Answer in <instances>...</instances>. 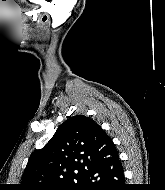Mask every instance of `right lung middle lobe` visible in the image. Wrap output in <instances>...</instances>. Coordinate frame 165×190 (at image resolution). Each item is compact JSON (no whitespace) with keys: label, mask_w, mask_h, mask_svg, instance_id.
<instances>
[{"label":"right lung middle lobe","mask_w":165,"mask_h":190,"mask_svg":"<svg viewBox=\"0 0 165 190\" xmlns=\"http://www.w3.org/2000/svg\"><path fill=\"white\" fill-rule=\"evenodd\" d=\"M78 186H79L78 184H71L65 187L55 188L53 190H78L79 189Z\"/></svg>","instance_id":"1"}]
</instances>
